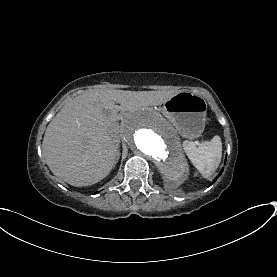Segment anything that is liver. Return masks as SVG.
Masks as SVG:
<instances>
[{
	"instance_id": "liver-1",
	"label": "liver",
	"mask_w": 277,
	"mask_h": 277,
	"mask_svg": "<svg viewBox=\"0 0 277 277\" xmlns=\"http://www.w3.org/2000/svg\"><path fill=\"white\" fill-rule=\"evenodd\" d=\"M171 96V92L161 91L83 92L47 126L42 143L46 164L55 176L72 186L101 181L115 166L124 118L142 107L161 105ZM117 110L126 113L118 115Z\"/></svg>"
}]
</instances>
